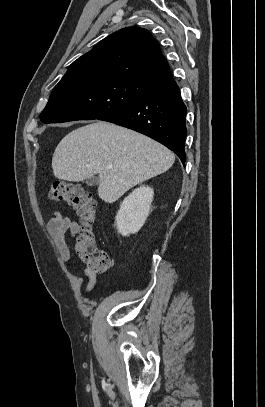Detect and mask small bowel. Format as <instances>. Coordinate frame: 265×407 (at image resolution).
I'll return each mask as SVG.
<instances>
[{
  "label": "small bowel",
  "instance_id": "obj_1",
  "mask_svg": "<svg viewBox=\"0 0 265 407\" xmlns=\"http://www.w3.org/2000/svg\"><path fill=\"white\" fill-rule=\"evenodd\" d=\"M46 229L56 245L61 262L68 264L72 253L67 243V236L74 237L79 233V223L67 216L61 215L58 211H53L51 218L47 222ZM84 274V291L89 293L97 282L96 274L90 269H84Z\"/></svg>",
  "mask_w": 265,
  "mask_h": 407
}]
</instances>
